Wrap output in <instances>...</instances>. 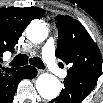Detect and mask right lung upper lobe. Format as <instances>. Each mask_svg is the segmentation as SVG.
<instances>
[{
	"label": "right lung upper lobe",
	"mask_w": 103,
	"mask_h": 103,
	"mask_svg": "<svg viewBox=\"0 0 103 103\" xmlns=\"http://www.w3.org/2000/svg\"><path fill=\"white\" fill-rule=\"evenodd\" d=\"M44 14L45 11L38 7L0 8V57L5 51H12L27 25L32 20L43 17ZM18 70L4 68L0 64V78L15 74Z\"/></svg>",
	"instance_id": "right-lung-upper-lobe-1"
}]
</instances>
